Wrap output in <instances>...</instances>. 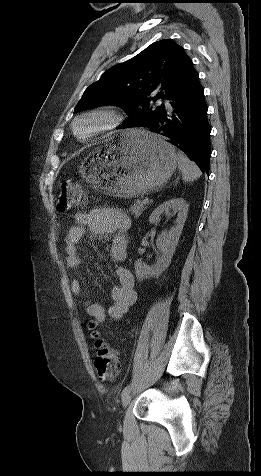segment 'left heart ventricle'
<instances>
[{"label": "left heart ventricle", "instance_id": "obj_1", "mask_svg": "<svg viewBox=\"0 0 261 476\" xmlns=\"http://www.w3.org/2000/svg\"><path fill=\"white\" fill-rule=\"evenodd\" d=\"M93 126V123L92 122H84V123H81L79 126H78V131L80 134H86L88 131H90V129L92 128Z\"/></svg>", "mask_w": 261, "mask_h": 476}]
</instances>
